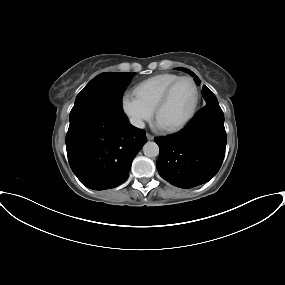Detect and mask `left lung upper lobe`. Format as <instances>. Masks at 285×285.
Segmentation results:
<instances>
[{
    "mask_svg": "<svg viewBox=\"0 0 285 285\" xmlns=\"http://www.w3.org/2000/svg\"><path fill=\"white\" fill-rule=\"evenodd\" d=\"M180 69V68H177ZM183 71H187L189 72L192 76L196 77L194 80L197 84H199L200 80L197 78V76L190 70H187L185 68H181ZM202 95L206 101V106L203 107L204 108H220L217 98L215 97V95L213 94V92L211 90H209L206 86H203L202 89Z\"/></svg>",
    "mask_w": 285,
    "mask_h": 285,
    "instance_id": "obj_1",
    "label": "left lung upper lobe"
}]
</instances>
